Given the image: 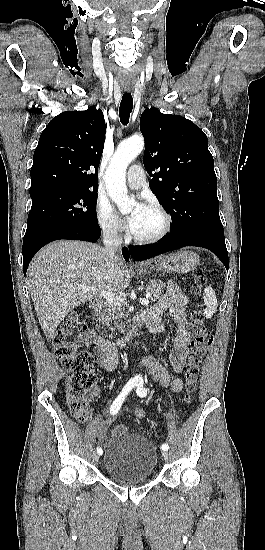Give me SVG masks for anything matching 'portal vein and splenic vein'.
I'll return each instance as SVG.
<instances>
[{
  "label": "portal vein and splenic vein",
  "mask_w": 265,
  "mask_h": 550,
  "mask_svg": "<svg viewBox=\"0 0 265 550\" xmlns=\"http://www.w3.org/2000/svg\"><path fill=\"white\" fill-rule=\"evenodd\" d=\"M78 289H81L83 292H88V291H92L94 290L92 287L90 286H85V285H78ZM102 297H104L106 300H108L109 302L111 303H114L116 305H123L126 303V300L125 298L113 293V292H108V291H102L101 294H100ZM150 294L147 295V297L145 299H141L140 300V303L142 305H145L147 306L149 304V298H150Z\"/></svg>",
  "instance_id": "portal-vein-and-splenic-vein-1"
}]
</instances>
